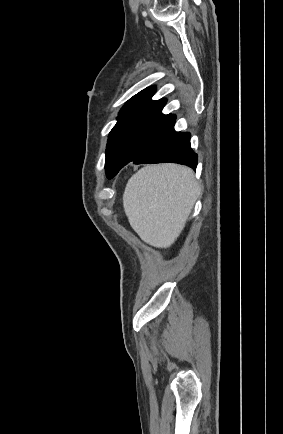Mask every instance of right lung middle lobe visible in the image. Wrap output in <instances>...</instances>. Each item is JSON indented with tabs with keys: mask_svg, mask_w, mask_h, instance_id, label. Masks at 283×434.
Instances as JSON below:
<instances>
[{
	"mask_svg": "<svg viewBox=\"0 0 283 434\" xmlns=\"http://www.w3.org/2000/svg\"><path fill=\"white\" fill-rule=\"evenodd\" d=\"M175 124V120L151 116L119 118L109 134L105 169L109 179L134 161L149 145Z\"/></svg>",
	"mask_w": 283,
	"mask_h": 434,
	"instance_id": "1",
	"label": "right lung middle lobe"
}]
</instances>
